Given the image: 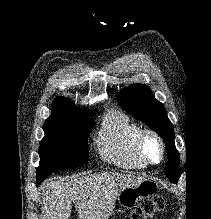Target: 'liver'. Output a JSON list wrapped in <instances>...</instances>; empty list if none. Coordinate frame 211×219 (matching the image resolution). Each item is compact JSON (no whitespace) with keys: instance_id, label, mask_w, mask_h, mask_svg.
I'll use <instances>...</instances> for the list:
<instances>
[{"instance_id":"1","label":"liver","mask_w":211,"mask_h":219,"mask_svg":"<svg viewBox=\"0 0 211 219\" xmlns=\"http://www.w3.org/2000/svg\"><path fill=\"white\" fill-rule=\"evenodd\" d=\"M144 179L131 174L103 172L69 180L51 178L41 187L42 219H68L72 202L79 219H108L117 196Z\"/></svg>"}]
</instances>
